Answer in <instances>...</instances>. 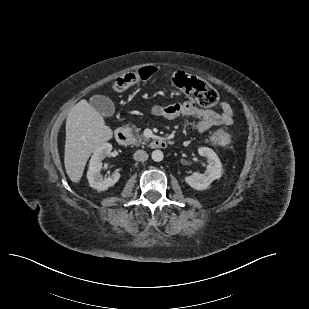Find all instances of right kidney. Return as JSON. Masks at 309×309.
I'll return each mask as SVG.
<instances>
[{"instance_id": "right-kidney-1", "label": "right kidney", "mask_w": 309, "mask_h": 309, "mask_svg": "<svg viewBox=\"0 0 309 309\" xmlns=\"http://www.w3.org/2000/svg\"><path fill=\"white\" fill-rule=\"evenodd\" d=\"M111 150L112 145L110 143H105L94 151L90 159L87 179L90 187L97 191L107 190L109 187L115 185L120 179V173L118 172H114L108 178H103L100 174L102 160L110 154Z\"/></svg>"}]
</instances>
